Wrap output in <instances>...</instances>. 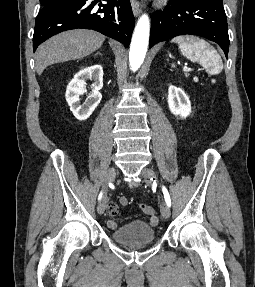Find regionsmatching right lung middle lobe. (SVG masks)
<instances>
[{
    "instance_id": "1",
    "label": "right lung middle lobe",
    "mask_w": 255,
    "mask_h": 287,
    "mask_svg": "<svg viewBox=\"0 0 255 287\" xmlns=\"http://www.w3.org/2000/svg\"><path fill=\"white\" fill-rule=\"evenodd\" d=\"M65 1H70V0H40V3L42 6H46L49 4L57 3V2H65Z\"/></svg>"
}]
</instances>
